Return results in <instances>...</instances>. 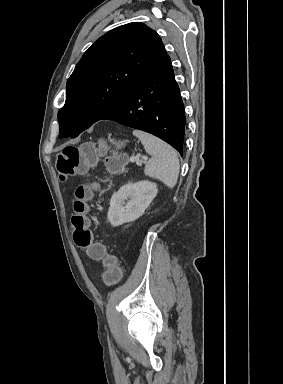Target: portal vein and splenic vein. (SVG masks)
Here are the masks:
<instances>
[{"label": "portal vein and splenic vein", "instance_id": "portal-vein-and-splenic-vein-1", "mask_svg": "<svg viewBox=\"0 0 283 384\" xmlns=\"http://www.w3.org/2000/svg\"><path fill=\"white\" fill-rule=\"evenodd\" d=\"M142 160H148L147 156H142ZM130 162H136L137 166H142L140 160H138V158H135V156H132V158H130Z\"/></svg>", "mask_w": 283, "mask_h": 384}]
</instances>
